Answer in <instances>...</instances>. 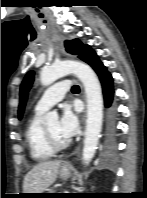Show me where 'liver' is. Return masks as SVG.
<instances>
[{"label":"liver","mask_w":147,"mask_h":198,"mask_svg":"<svg viewBox=\"0 0 147 198\" xmlns=\"http://www.w3.org/2000/svg\"><path fill=\"white\" fill-rule=\"evenodd\" d=\"M60 161H45L35 165L24 177V193H43L57 179Z\"/></svg>","instance_id":"liver-1"}]
</instances>
